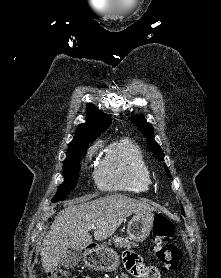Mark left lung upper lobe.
<instances>
[{"instance_id":"obj_1","label":"left lung upper lobe","mask_w":221,"mask_h":278,"mask_svg":"<svg viewBox=\"0 0 221 278\" xmlns=\"http://www.w3.org/2000/svg\"><path fill=\"white\" fill-rule=\"evenodd\" d=\"M131 120L133 123L136 124V126L142 131L143 134H145L147 145L149 149L153 152L155 156H157L160 160H164V154L160 148V146L157 144V142L154 140V130L150 123L146 122L144 118L142 117H131ZM166 172L169 173V170L167 169V166H165ZM182 212L183 209H182Z\"/></svg>"}]
</instances>
